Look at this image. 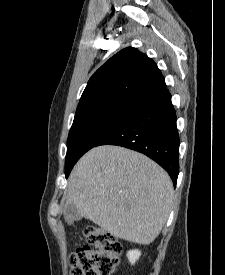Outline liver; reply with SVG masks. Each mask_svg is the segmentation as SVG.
<instances>
[{
    "label": "liver",
    "instance_id": "6515ba94",
    "mask_svg": "<svg viewBox=\"0 0 225 275\" xmlns=\"http://www.w3.org/2000/svg\"><path fill=\"white\" fill-rule=\"evenodd\" d=\"M169 175L145 155L118 146L91 149L74 166L66 204L112 236L140 245L155 240L173 202Z\"/></svg>",
    "mask_w": 225,
    "mask_h": 275
}]
</instances>
